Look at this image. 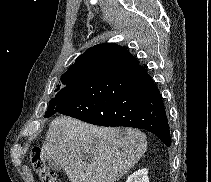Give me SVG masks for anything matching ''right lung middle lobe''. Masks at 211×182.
I'll use <instances>...</instances> for the list:
<instances>
[{
  "label": "right lung middle lobe",
  "instance_id": "right-lung-middle-lobe-1",
  "mask_svg": "<svg viewBox=\"0 0 211 182\" xmlns=\"http://www.w3.org/2000/svg\"><path fill=\"white\" fill-rule=\"evenodd\" d=\"M84 67L77 66L73 68H69L65 74H63L61 78V82L63 86L55 90V97L52 98L49 102V108L45 114V117H50L55 113V103L63 98H66L75 88L78 78L81 75Z\"/></svg>",
  "mask_w": 211,
  "mask_h": 182
}]
</instances>
